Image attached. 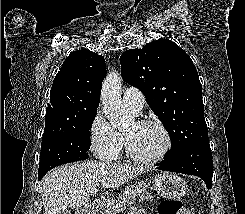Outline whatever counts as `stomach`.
<instances>
[{"label": "stomach", "instance_id": "0dacf381", "mask_svg": "<svg viewBox=\"0 0 245 214\" xmlns=\"http://www.w3.org/2000/svg\"><path fill=\"white\" fill-rule=\"evenodd\" d=\"M153 187L160 196L167 199H180L188 189L183 178L169 172L157 174L153 179Z\"/></svg>", "mask_w": 245, "mask_h": 214}]
</instances>
